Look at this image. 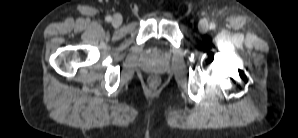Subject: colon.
I'll return each mask as SVG.
<instances>
[{"mask_svg":"<svg viewBox=\"0 0 298 138\" xmlns=\"http://www.w3.org/2000/svg\"><path fill=\"white\" fill-rule=\"evenodd\" d=\"M151 82H152L153 84H155V83H157V79H156V78H153V79L151 80Z\"/></svg>","mask_w":298,"mask_h":138,"instance_id":"colon-1","label":"colon"}]
</instances>
